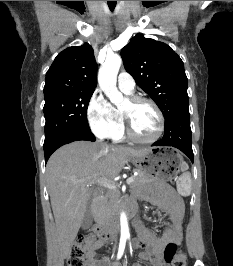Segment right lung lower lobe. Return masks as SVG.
Here are the masks:
<instances>
[{"label": "right lung lower lobe", "mask_w": 233, "mask_h": 266, "mask_svg": "<svg viewBox=\"0 0 233 266\" xmlns=\"http://www.w3.org/2000/svg\"><path fill=\"white\" fill-rule=\"evenodd\" d=\"M78 140H88L95 141V136L92 134L90 130L87 129H79L72 130L68 132H64L55 138L44 142V154H45V162L48 161L50 155L59 147L64 144L78 141Z\"/></svg>", "instance_id": "right-lung-lower-lobe-1"}]
</instances>
